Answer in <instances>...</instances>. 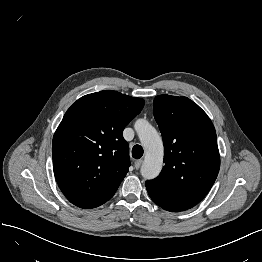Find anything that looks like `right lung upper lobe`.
<instances>
[{"mask_svg": "<svg viewBox=\"0 0 262 262\" xmlns=\"http://www.w3.org/2000/svg\"><path fill=\"white\" fill-rule=\"evenodd\" d=\"M143 106L141 98L104 90L67 110L53 137L52 156L56 181L71 203L89 209L113 197L130 166L122 133Z\"/></svg>", "mask_w": 262, "mask_h": 262, "instance_id": "obj_1", "label": "right lung upper lobe"}]
</instances>
